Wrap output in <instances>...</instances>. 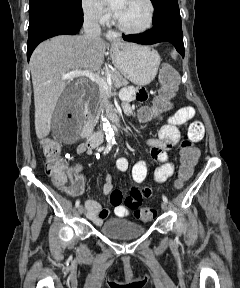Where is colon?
<instances>
[{
	"mask_svg": "<svg viewBox=\"0 0 240 288\" xmlns=\"http://www.w3.org/2000/svg\"><path fill=\"white\" fill-rule=\"evenodd\" d=\"M159 83L160 91L152 106L141 110V117L144 120H151L171 107V101L178 86V74L171 65L163 64L160 67ZM42 149L45 156V172L52 183L68 192L74 191L76 184L68 170L66 161L61 156L60 145L52 139H44ZM198 156V149L186 137L180 147V171L176 187H181L182 183L192 176ZM141 200L142 198L137 191H131L125 198V204L129 208L135 209L136 218L142 221H150L155 218L156 211L150 208L139 209Z\"/></svg>",
	"mask_w": 240,
	"mask_h": 288,
	"instance_id": "colon-1",
	"label": "colon"
}]
</instances>
